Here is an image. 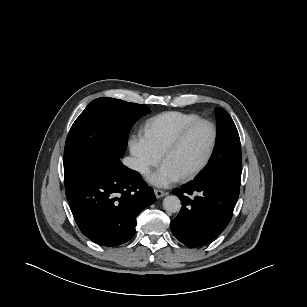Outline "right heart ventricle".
Returning <instances> with one entry per match:
<instances>
[{"label":"right heart ventricle","mask_w":307,"mask_h":307,"mask_svg":"<svg viewBox=\"0 0 307 307\" xmlns=\"http://www.w3.org/2000/svg\"><path fill=\"white\" fill-rule=\"evenodd\" d=\"M195 113L169 111L151 118L145 125L144 136L160 154L189 123L200 119Z\"/></svg>","instance_id":"right-heart-ventricle-1"}]
</instances>
